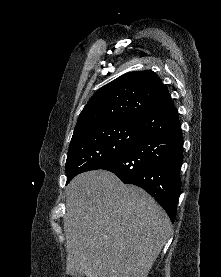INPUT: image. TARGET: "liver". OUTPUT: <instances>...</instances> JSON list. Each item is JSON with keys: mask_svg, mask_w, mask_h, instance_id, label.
<instances>
[{"mask_svg": "<svg viewBox=\"0 0 221 277\" xmlns=\"http://www.w3.org/2000/svg\"><path fill=\"white\" fill-rule=\"evenodd\" d=\"M66 194V273L147 277L172 230L154 198L105 170L77 175Z\"/></svg>", "mask_w": 221, "mask_h": 277, "instance_id": "liver-1", "label": "liver"}]
</instances>
